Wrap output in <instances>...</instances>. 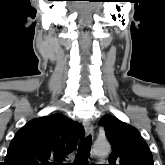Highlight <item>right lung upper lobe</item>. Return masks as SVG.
<instances>
[{"instance_id":"right-lung-upper-lobe-1","label":"right lung upper lobe","mask_w":165,"mask_h":165,"mask_svg":"<svg viewBox=\"0 0 165 165\" xmlns=\"http://www.w3.org/2000/svg\"><path fill=\"white\" fill-rule=\"evenodd\" d=\"M83 135L81 124L62 114L33 119L15 134L3 165L61 164Z\"/></svg>"}]
</instances>
